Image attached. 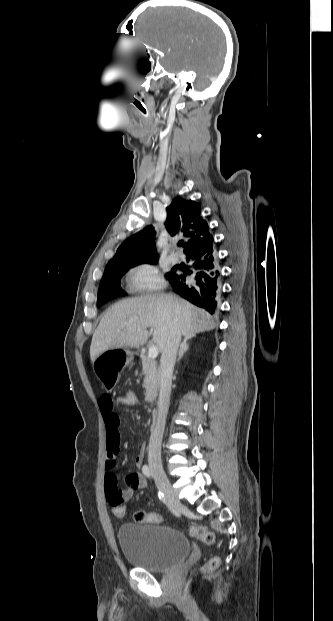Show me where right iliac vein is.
Instances as JSON below:
<instances>
[{
	"instance_id": "63e3f726",
	"label": "right iliac vein",
	"mask_w": 333,
	"mask_h": 621,
	"mask_svg": "<svg viewBox=\"0 0 333 621\" xmlns=\"http://www.w3.org/2000/svg\"><path fill=\"white\" fill-rule=\"evenodd\" d=\"M152 472L158 487L164 492L169 502L172 503L173 506L178 507L180 505V500L164 470L160 466L152 465Z\"/></svg>"
}]
</instances>
